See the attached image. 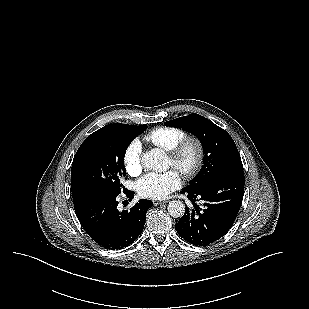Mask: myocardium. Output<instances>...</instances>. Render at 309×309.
<instances>
[{
  "instance_id": "f54148a6",
  "label": "myocardium",
  "mask_w": 309,
  "mask_h": 309,
  "mask_svg": "<svg viewBox=\"0 0 309 309\" xmlns=\"http://www.w3.org/2000/svg\"><path fill=\"white\" fill-rule=\"evenodd\" d=\"M195 150V158L190 165L184 164V156L188 149ZM171 165L184 178L194 177L202 168L205 160V148L203 142L196 136H186L172 150L168 152Z\"/></svg>"
}]
</instances>
